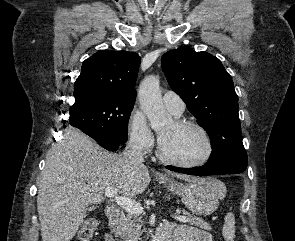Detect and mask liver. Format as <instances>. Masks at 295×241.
<instances>
[{
    "mask_svg": "<svg viewBox=\"0 0 295 241\" xmlns=\"http://www.w3.org/2000/svg\"><path fill=\"white\" fill-rule=\"evenodd\" d=\"M170 174L186 181L198 179ZM149 183L145 165H132L85 134L67 129L62 140L48 151L38 182L42 241H70L87 216L88 206L103 202L107 187L131 198L143 193Z\"/></svg>",
    "mask_w": 295,
    "mask_h": 241,
    "instance_id": "liver-1",
    "label": "liver"
}]
</instances>
